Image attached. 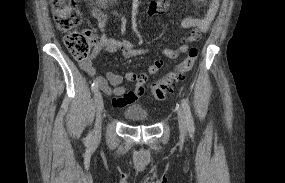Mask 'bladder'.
I'll list each match as a JSON object with an SVG mask.
<instances>
[{
    "label": "bladder",
    "mask_w": 285,
    "mask_h": 183,
    "mask_svg": "<svg viewBox=\"0 0 285 183\" xmlns=\"http://www.w3.org/2000/svg\"><path fill=\"white\" fill-rule=\"evenodd\" d=\"M124 116L130 121H147L148 112L141 105H132L124 111Z\"/></svg>",
    "instance_id": "31cf9c89"
}]
</instances>
